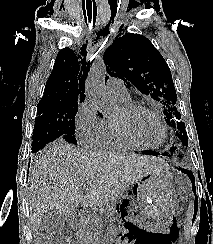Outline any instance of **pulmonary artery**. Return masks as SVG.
Segmentation results:
<instances>
[{
  "mask_svg": "<svg viewBox=\"0 0 213 244\" xmlns=\"http://www.w3.org/2000/svg\"><path fill=\"white\" fill-rule=\"evenodd\" d=\"M107 91L123 102L131 100L130 94L120 78L112 77L108 79Z\"/></svg>",
  "mask_w": 213,
  "mask_h": 244,
  "instance_id": "1",
  "label": "pulmonary artery"
}]
</instances>
